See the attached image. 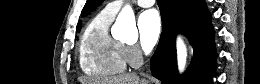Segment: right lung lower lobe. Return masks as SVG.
Segmentation results:
<instances>
[{
  "label": "right lung lower lobe",
  "instance_id": "1",
  "mask_svg": "<svg viewBox=\"0 0 260 84\" xmlns=\"http://www.w3.org/2000/svg\"><path fill=\"white\" fill-rule=\"evenodd\" d=\"M162 18L159 44L151 58V71L162 84H211L216 50L211 16L203 0H157ZM185 34L194 50L192 67L179 77L175 38Z\"/></svg>",
  "mask_w": 260,
  "mask_h": 84
}]
</instances>
